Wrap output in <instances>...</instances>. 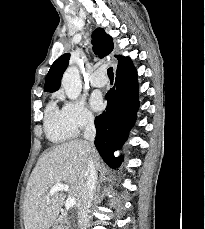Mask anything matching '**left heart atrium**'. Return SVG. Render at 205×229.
<instances>
[{
	"label": "left heart atrium",
	"instance_id": "39dd6f15",
	"mask_svg": "<svg viewBox=\"0 0 205 229\" xmlns=\"http://www.w3.org/2000/svg\"><path fill=\"white\" fill-rule=\"evenodd\" d=\"M90 104L94 110H101L102 109V99L99 95H92L90 99Z\"/></svg>",
	"mask_w": 205,
	"mask_h": 229
}]
</instances>
